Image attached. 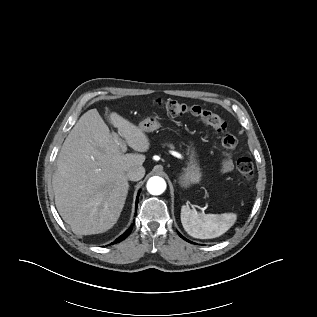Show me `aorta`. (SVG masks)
I'll return each mask as SVG.
<instances>
[{
	"instance_id": "1",
	"label": "aorta",
	"mask_w": 317,
	"mask_h": 317,
	"mask_svg": "<svg viewBox=\"0 0 317 317\" xmlns=\"http://www.w3.org/2000/svg\"><path fill=\"white\" fill-rule=\"evenodd\" d=\"M165 189L166 182L159 176H153L147 182V191L152 195H160Z\"/></svg>"
}]
</instances>
